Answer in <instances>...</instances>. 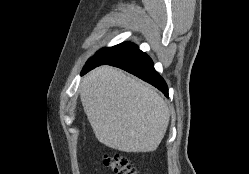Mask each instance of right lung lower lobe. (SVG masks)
I'll use <instances>...</instances> for the list:
<instances>
[{
  "mask_svg": "<svg viewBox=\"0 0 249 174\" xmlns=\"http://www.w3.org/2000/svg\"><path fill=\"white\" fill-rule=\"evenodd\" d=\"M103 64H108L121 68L141 78L142 80L158 88L160 91L163 92L165 96L168 97V87L164 79L154 69L153 61L146 53L142 52L138 48L124 54L116 60L101 61L90 66L84 67L82 74H85L96 66H100Z\"/></svg>",
  "mask_w": 249,
  "mask_h": 174,
  "instance_id": "right-lung-lower-lobe-1",
  "label": "right lung lower lobe"
}]
</instances>
